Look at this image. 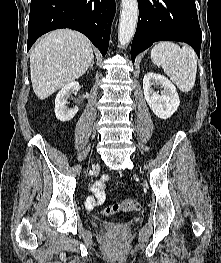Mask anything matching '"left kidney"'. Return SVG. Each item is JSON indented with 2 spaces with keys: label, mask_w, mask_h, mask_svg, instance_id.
Returning <instances> with one entry per match:
<instances>
[{
  "label": "left kidney",
  "mask_w": 221,
  "mask_h": 263,
  "mask_svg": "<svg viewBox=\"0 0 221 263\" xmlns=\"http://www.w3.org/2000/svg\"><path fill=\"white\" fill-rule=\"evenodd\" d=\"M158 85L163 88L161 95L153 89V86ZM143 91L145 100L158 118H170L180 105L176 87L160 74L147 73L143 78Z\"/></svg>",
  "instance_id": "obj_1"
}]
</instances>
